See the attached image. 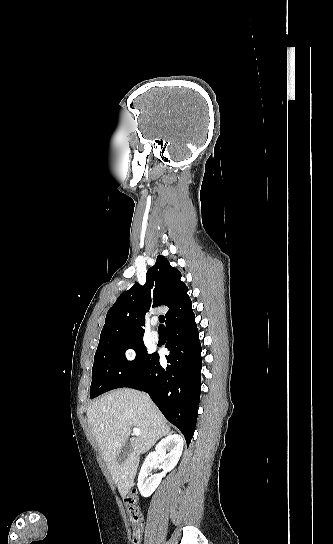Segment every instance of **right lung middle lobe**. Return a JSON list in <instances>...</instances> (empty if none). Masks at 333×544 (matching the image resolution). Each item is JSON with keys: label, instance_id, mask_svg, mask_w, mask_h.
<instances>
[{"label": "right lung middle lobe", "instance_id": "right-lung-middle-lobe-1", "mask_svg": "<svg viewBox=\"0 0 333 544\" xmlns=\"http://www.w3.org/2000/svg\"><path fill=\"white\" fill-rule=\"evenodd\" d=\"M142 338L116 337L99 341L92 368L90 398L127 387L141 378L153 356L147 353ZM129 348L136 351L133 361L125 358Z\"/></svg>", "mask_w": 333, "mask_h": 544}]
</instances>
